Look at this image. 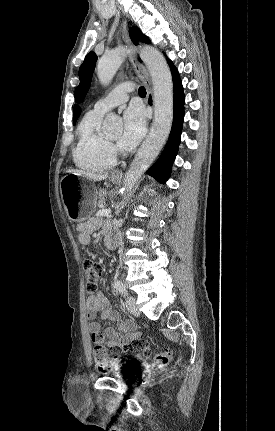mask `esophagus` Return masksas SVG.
<instances>
[{"instance_id": "1", "label": "esophagus", "mask_w": 275, "mask_h": 431, "mask_svg": "<svg viewBox=\"0 0 275 431\" xmlns=\"http://www.w3.org/2000/svg\"><path fill=\"white\" fill-rule=\"evenodd\" d=\"M122 38L126 44V46H128L129 48L132 47V43L128 34V25H127V20L123 19V24H122ZM130 61L133 65V68L137 74V76L140 78V80L143 82L146 91H147V97H153V87H152V81L150 78V75L146 69V67L138 60L137 55L134 51L130 52L129 55ZM116 176H122V172L120 171H116L114 173Z\"/></svg>"}]
</instances>
